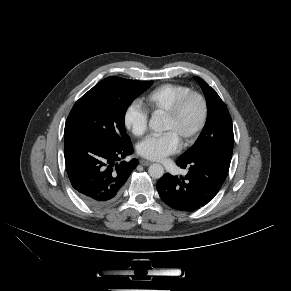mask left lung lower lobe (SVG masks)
Listing matches in <instances>:
<instances>
[{
    "mask_svg": "<svg viewBox=\"0 0 291 291\" xmlns=\"http://www.w3.org/2000/svg\"><path fill=\"white\" fill-rule=\"evenodd\" d=\"M230 158L208 155L177 160L187 169L186 176L163 175L157 190L161 199L173 209L194 211L211 201L224 183L230 167Z\"/></svg>",
    "mask_w": 291,
    "mask_h": 291,
    "instance_id": "1",
    "label": "left lung lower lobe"
}]
</instances>
